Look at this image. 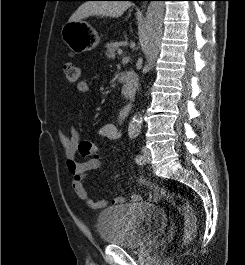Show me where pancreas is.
Listing matches in <instances>:
<instances>
[{
    "mask_svg": "<svg viewBox=\"0 0 245 265\" xmlns=\"http://www.w3.org/2000/svg\"><path fill=\"white\" fill-rule=\"evenodd\" d=\"M106 52L105 56L108 59H115V52L119 49L120 44L118 42L111 41L110 43L106 44Z\"/></svg>",
    "mask_w": 245,
    "mask_h": 265,
    "instance_id": "1",
    "label": "pancreas"
}]
</instances>
